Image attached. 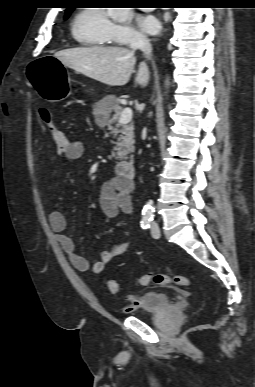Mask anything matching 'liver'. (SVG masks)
<instances>
[{
    "mask_svg": "<svg viewBox=\"0 0 255 387\" xmlns=\"http://www.w3.org/2000/svg\"><path fill=\"white\" fill-rule=\"evenodd\" d=\"M54 56L64 66L109 86L128 83L136 64L134 50L125 47H78L59 51ZM148 80V68L141 62L135 83L145 86Z\"/></svg>",
    "mask_w": 255,
    "mask_h": 387,
    "instance_id": "obj_1",
    "label": "liver"
}]
</instances>
